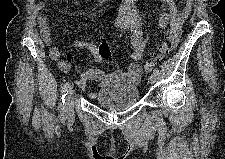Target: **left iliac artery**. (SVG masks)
I'll return each mask as SVG.
<instances>
[{"label":"left iliac artery","mask_w":225,"mask_h":159,"mask_svg":"<svg viewBox=\"0 0 225 159\" xmlns=\"http://www.w3.org/2000/svg\"><path fill=\"white\" fill-rule=\"evenodd\" d=\"M153 73L156 74V75H159V69L155 68Z\"/></svg>","instance_id":"left-iliac-artery-1"}]
</instances>
